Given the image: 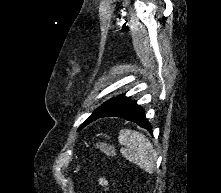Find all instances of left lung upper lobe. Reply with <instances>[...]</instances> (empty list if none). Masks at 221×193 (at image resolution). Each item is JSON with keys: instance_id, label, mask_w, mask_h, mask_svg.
Here are the masks:
<instances>
[{"instance_id": "left-lung-upper-lobe-1", "label": "left lung upper lobe", "mask_w": 221, "mask_h": 193, "mask_svg": "<svg viewBox=\"0 0 221 193\" xmlns=\"http://www.w3.org/2000/svg\"><path fill=\"white\" fill-rule=\"evenodd\" d=\"M116 98H112L97 108L93 114L81 125V128L86 126L88 123L96 120L107 108L108 106L115 100Z\"/></svg>"}]
</instances>
